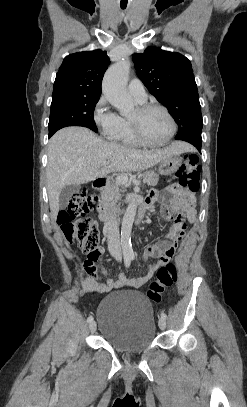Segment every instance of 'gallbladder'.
<instances>
[{"label":"gallbladder","mask_w":247,"mask_h":407,"mask_svg":"<svg viewBox=\"0 0 247 407\" xmlns=\"http://www.w3.org/2000/svg\"><path fill=\"white\" fill-rule=\"evenodd\" d=\"M79 185H67L65 186L59 196V207L60 209H65L69 203V199L79 192Z\"/></svg>","instance_id":"bac80fb5"}]
</instances>
